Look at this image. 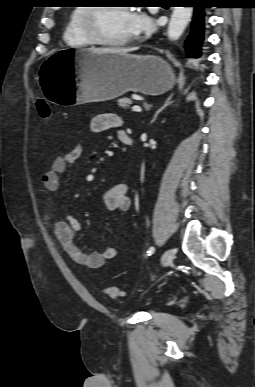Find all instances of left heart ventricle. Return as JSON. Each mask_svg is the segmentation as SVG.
<instances>
[{"instance_id":"b2bd125f","label":"left heart ventricle","mask_w":255,"mask_h":387,"mask_svg":"<svg viewBox=\"0 0 255 387\" xmlns=\"http://www.w3.org/2000/svg\"><path fill=\"white\" fill-rule=\"evenodd\" d=\"M131 12L118 7L102 9L96 16L98 32L106 39L121 40L132 36Z\"/></svg>"}]
</instances>
